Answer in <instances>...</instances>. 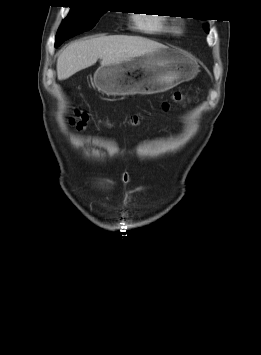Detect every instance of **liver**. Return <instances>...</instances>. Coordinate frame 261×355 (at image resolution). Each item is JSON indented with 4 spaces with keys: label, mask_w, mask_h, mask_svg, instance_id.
<instances>
[{
    "label": "liver",
    "mask_w": 261,
    "mask_h": 355,
    "mask_svg": "<svg viewBox=\"0 0 261 355\" xmlns=\"http://www.w3.org/2000/svg\"><path fill=\"white\" fill-rule=\"evenodd\" d=\"M164 47L153 40L127 35L92 37L70 43L57 59V76L65 80L75 73L94 65L129 60L133 57Z\"/></svg>",
    "instance_id": "liver-1"
}]
</instances>
